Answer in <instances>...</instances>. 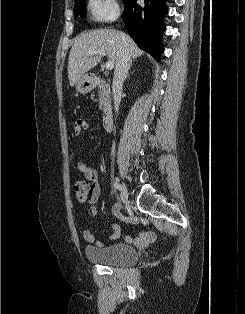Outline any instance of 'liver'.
Here are the masks:
<instances>
[{
    "label": "liver",
    "mask_w": 245,
    "mask_h": 314,
    "mask_svg": "<svg viewBox=\"0 0 245 314\" xmlns=\"http://www.w3.org/2000/svg\"><path fill=\"white\" fill-rule=\"evenodd\" d=\"M124 47L129 49L133 59L140 57L143 51L138 48L132 38L114 29H100L80 35L74 42L68 60V78L70 86L100 61L99 56L89 57V51H104L116 64Z\"/></svg>",
    "instance_id": "1"
}]
</instances>
